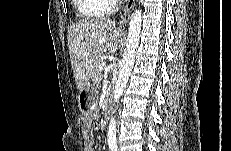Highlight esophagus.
I'll use <instances>...</instances> for the list:
<instances>
[{
    "instance_id": "obj_1",
    "label": "esophagus",
    "mask_w": 231,
    "mask_h": 151,
    "mask_svg": "<svg viewBox=\"0 0 231 151\" xmlns=\"http://www.w3.org/2000/svg\"><path fill=\"white\" fill-rule=\"evenodd\" d=\"M134 5H135V0H128L126 8L124 10V13L121 16V19H120V22H119L120 25H124L125 23L128 22L129 17H130V13L133 10Z\"/></svg>"
}]
</instances>
